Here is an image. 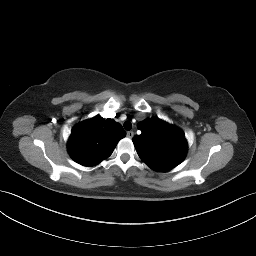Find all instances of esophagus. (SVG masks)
I'll list each match as a JSON object with an SVG mask.
<instances>
[{
	"instance_id": "esophagus-1",
	"label": "esophagus",
	"mask_w": 256,
	"mask_h": 256,
	"mask_svg": "<svg viewBox=\"0 0 256 256\" xmlns=\"http://www.w3.org/2000/svg\"><path fill=\"white\" fill-rule=\"evenodd\" d=\"M134 136V132L133 131H128L127 132V137L132 138Z\"/></svg>"
}]
</instances>
